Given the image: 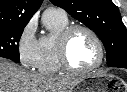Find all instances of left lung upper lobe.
Wrapping results in <instances>:
<instances>
[{"label":"left lung upper lobe","instance_id":"obj_1","mask_svg":"<svg viewBox=\"0 0 127 92\" xmlns=\"http://www.w3.org/2000/svg\"><path fill=\"white\" fill-rule=\"evenodd\" d=\"M93 30L102 40L107 63L127 58V31L111 0H51Z\"/></svg>","mask_w":127,"mask_h":92}]
</instances>
